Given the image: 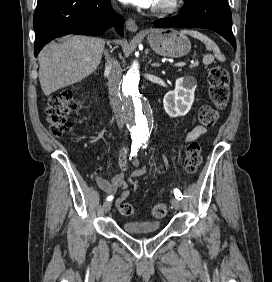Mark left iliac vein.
Here are the masks:
<instances>
[{
  "instance_id": "4c4485c4",
  "label": "left iliac vein",
  "mask_w": 272,
  "mask_h": 282,
  "mask_svg": "<svg viewBox=\"0 0 272 282\" xmlns=\"http://www.w3.org/2000/svg\"><path fill=\"white\" fill-rule=\"evenodd\" d=\"M172 206L175 210H179L180 209V201L176 198H173L172 201Z\"/></svg>"
}]
</instances>
